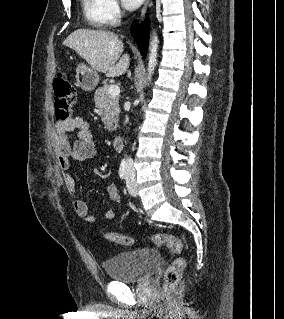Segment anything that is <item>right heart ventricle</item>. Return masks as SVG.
I'll return each mask as SVG.
<instances>
[{"label":"right heart ventricle","instance_id":"1","mask_svg":"<svg viewBox=\"0 0 284 319\" xmlns=\"http://www.w3.org/2000/svg\"><path fill=\"white\" fill-rule=\"evenodd\" d=\"M105 4V0H81L83 15L89 25L103 28L110 24Z\"/></svg>","mask_w":284,"mask_h":319}]
</instances>
